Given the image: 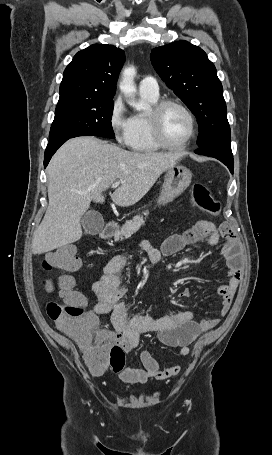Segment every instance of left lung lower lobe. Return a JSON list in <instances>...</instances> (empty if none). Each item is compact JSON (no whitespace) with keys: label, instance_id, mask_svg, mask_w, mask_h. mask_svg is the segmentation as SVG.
I'll return each mask as SVG.
<instances>
[{"label":"left lung lower lobe","instance_id":"1","mask_svg":"<svg viewBox=\"0 0 272 455\" xmlns=\"http://www.w3.org/2000/svg\"><path fill=\"white\" fill-rule=\"evenodd\" d=\"M195 153L205 156H211L220 160L229 168L230 172L233 174L234 161L231 151L230 136L222 137L217 140L211 141L199 147L197 150H195Z\"/></svg>","mask_w":272,"mask_h":455}]
</instances>
